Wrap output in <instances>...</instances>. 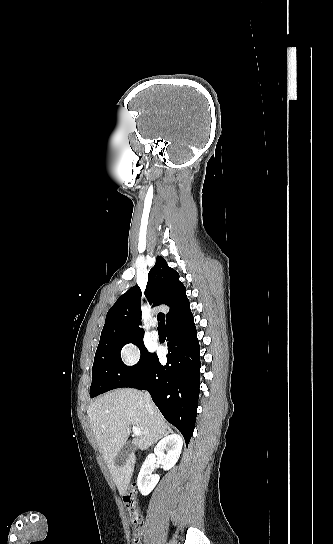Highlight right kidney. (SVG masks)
<instances>
[{
  "mask_svg": "<svg viewBox=\"0 0 333 544\" xmlns=\"http://www.w3.org/2000/svg\"><path fill=\"white\" fill-rule=\"evenodd\" d=\"M183 441L177 434L164 437L155 447L154 453L148 455L138 475L137 485L142 495H148L157 485L159 475H152L156 462L161 463L164 470L171 469L178 461Z\"/></svg>",
  "mask_w": 333,
  "mask_h": 544,
  "instance_id": "obj_1",
  "label": "right kidney"
}]
</instances>
